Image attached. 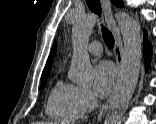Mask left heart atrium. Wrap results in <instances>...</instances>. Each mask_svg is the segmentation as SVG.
I'll use <instances>...</instances> for the list:
<instances>
[{
  "label": "left heart atrium",
  "mask_w": 156,
  "mask_h": 124,
  "mask_svg": "<svg viewBox=\"0 0 156 124\" xmlns=\"http://www.w3.org/2000/svg\"><path fill=\"white\" fill-rule=\"evenodd\" d=\"M116 80V70L108 61H102L94 69V92L104 97L113 89Z\"/></svg>",
  "instance_id": "39dd6f15"
}]
</instances>
